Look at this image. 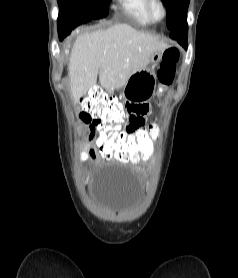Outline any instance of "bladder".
Wrapping results in <instances>:
<instances>
[{
  "instance_id": "1",
  "label": "bladder",
  "mask_w": 238,
  "mask_h": 278,
  "mask_svg": "<svg viewBox=\"0 0 238 278\" xmlns=\"http://www.w3.org/2000/svg\"><path fill=\"white\" fill-rule=\"evenodd\" d=\"M93 180H139V175H128V169L110 167L101 175H93ZM92 186L100 195V202L111 211H122L135 203L132 194H140L141 181H92Z\"/></svg>"
}]
</instances>
